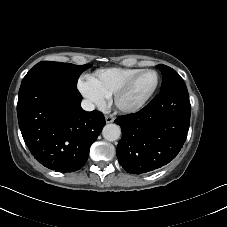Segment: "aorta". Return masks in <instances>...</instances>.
Instances as JSON below:
<instances>
[{"instance_id": "762f6f07", "label": "aorta", "mask_w": 227, "mask_h": 227, "mask_svg": "<svg viewBox=\"0 0 227 227\" xmlns=\"http://www.w3.org/2000/svg\"><path fill=\"white\" fill-rule=\"evenodd\" d=\"M102 135L107 141H116L121 135V129L117 124H107L102 130Z\"/></svg>"}]
</instances>
